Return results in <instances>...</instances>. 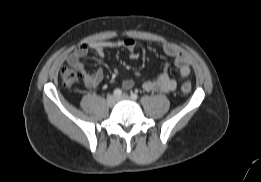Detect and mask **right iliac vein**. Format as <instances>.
<instances>
[{"label": "right iliac vein", "mask_w": 261, "mask_h": 182, "mask_svg": "<svg viewBox=\"0 0 261 182\" xmlns=\"http://www.w3.org/2000/svg\"><path fill=\"white\" fill-rule=\"evenodd\" d=\"M117 98L114 95H109L107 97V105L113 107L116 104Z\"/></svg>", "instance_id": "obj_1"}]
</instances>
